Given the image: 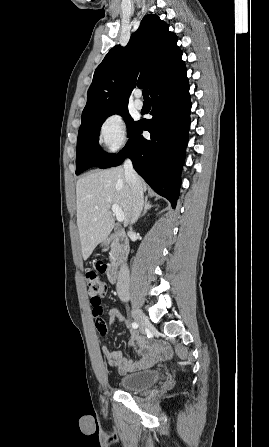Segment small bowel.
<instances>
[{
	"label": "small bowel",
	"mask_w": 269,
	"mask_h": 447,
	"mask_svg": "<svg viewBox=\"0 0 269 447\" xmlns=\"http://www.w3.org/2000/svg\"><path fill=\"white\" fill-rule=\"evenodd\" d=\"M109 315L111 323H116L119 326L129 328V324L118 309H111ZM136 340L137 335L134 332H131L129 343L132 347H135ZM102 353L108 363L117 368L121 373H129L150 367L157 362L166 359L170 355L168 347L164 344L145 346L137 351L138 358L136 359H128L123 357L119 352H113L107 344L102 345Z\"/></svg>",
	"instance_id": "obj_1"
}]
</instances>
